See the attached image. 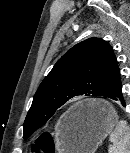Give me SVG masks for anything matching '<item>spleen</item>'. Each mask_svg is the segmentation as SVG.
Returning a JSON list of instances; mask_svg holds the SVG:
<instances>
[{
    "label": "spleen",
    "mask_w": 130,
    "mask_h": 153,
    "mask_svg": "<svg viewBox=\"0 0 130 153\" xmlns=\"http://www.w3.org/2000/svg\"><path fill=\"white\" fill-rule=\"evenodd\" d=\"M109 153H130V129L125 120L118 121L109 137Z\"/></svg>",
    "instance_id": "1"
}]
</instances>
